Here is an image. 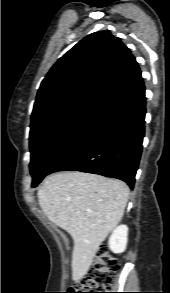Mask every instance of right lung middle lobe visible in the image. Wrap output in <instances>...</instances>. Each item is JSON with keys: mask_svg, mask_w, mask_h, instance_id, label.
<instances>
[{"mask_svg": "<svg viewBox=\"0 0 170 293\" xmlns=\"http://www.w3.org/2000/svg\"><path fill=\"white\" fill-rule=\"evenodd\" d=\"M104 106L77 104L31 126L30 173L32 187L49 174L52 165L87 131Z\"/></svg>", "mask_w": 170, "mask_h": 293, "instance_id": "1", "label": "right lung middle lobe"}]
</instances>
